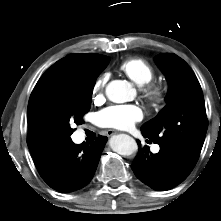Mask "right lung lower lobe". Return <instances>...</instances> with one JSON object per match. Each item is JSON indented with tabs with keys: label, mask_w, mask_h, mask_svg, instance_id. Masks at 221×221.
Masks as SVG:
<instances>
[{
	"label": "right lung lower lobe",
	"mask_w": 221,
	"mask_h": 221,
	"mask_svg": "<svg viewBox=\"0 0 221 221\" xmlns=\"http://www.w3.org/2000/svg\"><path fill=\"white\" fill-rule=\"evenodd\" d=\"M107 137L99 136L91 145L66 144L46 149L33 156L42 179L53 189L72 192L93 178Z\"/></svg>",
	"instance_id": "obj_1"
}]
</instances>
